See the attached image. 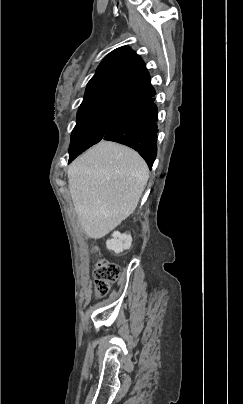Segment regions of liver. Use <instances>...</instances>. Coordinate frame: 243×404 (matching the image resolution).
<instances>
[{"label":"liver","instance_id":"obj_1","mask_svg":"<svg viewBox=\"0 0 243 404\" xmlns=\"http://www.w3.org/2000/svg\"><path fill=\"white\" fill-rule=\"evenodd\" d=\"M148 174V166L137 152L104 140L70 164L69 190L88 238H103L134 212Z\"/></svg>","mask_w":243,"mask_h":404}]
</instances>
